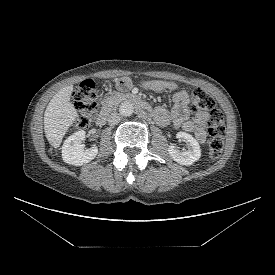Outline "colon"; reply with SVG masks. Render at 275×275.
I'll use <instances>...</instances> for the list:
<instances>
[{"label":"colon","instance_id":"obj_1","mask_svg":"<svg viewBox=\"0 0 275 275\" xmlns=\"http://www.w3.org/2000/svg\"><path fill=\"white\" fill-rule=\"evenodd\" d=\"M77 109V126L87 128L93 121L97 111L95 98V84L91 80L83 81L72 95ZM191 110L194 113L209 110L207 122L208 131V156L216 159L220 156L223 148L225 122L222 112L216 108L215 101L202 89L196 88L191 94Z\"/></svg>","mask_w":275,"mask_h":275}]
</instances>
